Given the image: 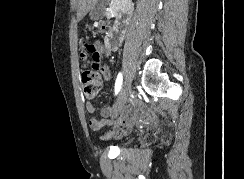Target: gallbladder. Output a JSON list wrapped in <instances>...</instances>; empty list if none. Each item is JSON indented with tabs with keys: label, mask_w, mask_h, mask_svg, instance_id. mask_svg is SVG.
<instances>
[{
	"label": "gallbladder",
	"mask_w": 244,
	"mask_h": 179,
	"mask_svg": "<svg viewBox=\"0 0 244 179\" xmlns=\"http://www.w3.org/2000/svg\"><path fill=\"white\" fill-rule=\"evenodd\" d=\"M108 4H110V0H97L89 14L91 20H101V18H104Z\"/></svg>",
	"instance_id": "bac80fb5"
}]
</instances>
